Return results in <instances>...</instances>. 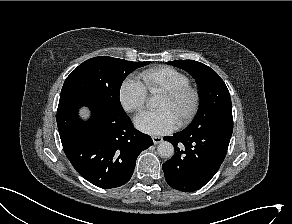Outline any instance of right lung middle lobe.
Returning a JSON list of instances; mask_svg holds the SVG:
<instances>
[{
  "mask_svg": "<svg viewBox=\"0 0 292 224\" xmlns=\"http://www.w3.org/2000/svg\"><path fill=\"white\" fill-rule=\"evenodd\" d=\"M150 62H132L108 56L88 59L65 80L60 97L78 95L101 103L110 109L122 111L120 87L135 69Z\"/></svg>",
  "mask_w": 292,
  "mask_h": 224,
  "instance_id": "obj_1",
  "label": "right lung middle lobe"
}]
</instances>
